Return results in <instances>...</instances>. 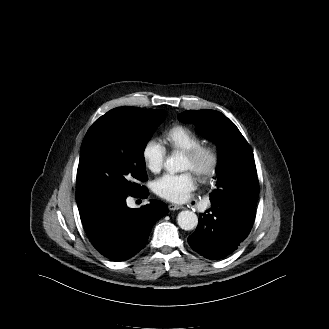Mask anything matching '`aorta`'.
Listing matches in <instances>:
<instances>
[{"mask_svg":"<svg viewBox=\"0 0 329 329\" xmlns=\"http://www.w3.org/2000/svg\"><path fill=\"white\" fill-rule=\"evenodd\" d=\"M165 168L171 174L186 170V158L182 154H175L165 162ZM177 223L183 230H193L198 224L197 215L189 210L181 211L177 217Z\"/></svg>","mask_w":329,"mask_h":329,"instance_id":"obj_1","label":"aorta"}]
</instances>
